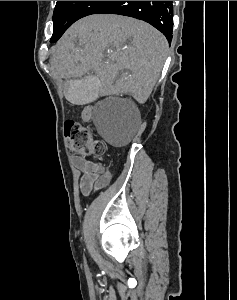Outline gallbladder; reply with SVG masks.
<instances>
[{"mask_svg":"<svg viewBox=\"0 0 237 300\" xmlns=\"http://www.w3.org/2000/svg\"><path fill=\"white\" fill-rule=\"evenodd\" d=\"M96 77L97 74L92 72L90 76H85V82H78L77 76L71 78L72 82H69L64 90L69 105H92L93 101H98V94L102 89L99 82H95Z\"/></svg>","mask_w":237,"mask_h":300,"instance_id":"1","label":"gallbladder"}]
</instances>
